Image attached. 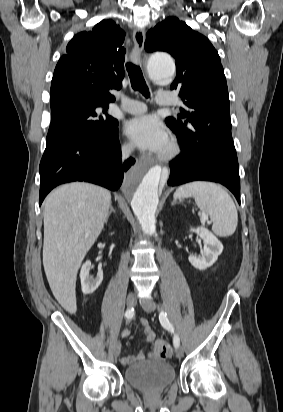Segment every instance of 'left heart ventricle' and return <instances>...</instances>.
Returning a JSON list of instances; mask_svg holds the SVG:
<instances>
[{"mask_svg": "<svg viewBox=\"0 0 283 412\" xmlns=\"http://www.w3.org/2000/svg\"><path fill=\"white\" fill-rule=\"evenodd\" d=\"M166 148H167V145H166V147H165L162 151H164Z\"/></svg>", "mask_w": 283, "mask_h": 412, "instance_id": "1", "label": "left heart ventricle"}]
</instances>
